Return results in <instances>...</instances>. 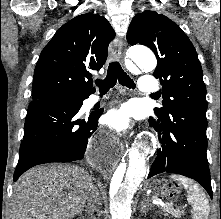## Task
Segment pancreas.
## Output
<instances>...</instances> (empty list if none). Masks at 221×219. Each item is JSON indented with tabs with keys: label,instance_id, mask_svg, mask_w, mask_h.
I'll list each match as a JSON object with an SVG mask.
<instances>
[{
	"label": "pancreas",
	"instance_id": "cf45deb5",
	"mask_svg": "<svg viewBox=\"0 0 221 219\" xmlns=\"http://www.w3.org/2000/svg\"><path fill=\"white\" fill-rule=\"evenodd\" d=\"M160 210L164 213L165 216L171 214L172 216L176 218H181L182 216L185 215L184 210L175 209L172 206H164L160 208Z\"/></svg>",
	"mask_w": 221,
	"mask_h": 219
}]
</instances>
